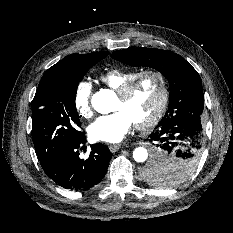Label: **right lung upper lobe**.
<instances>
[{
  "mask_svg": "<svg viewBox=\"0 0 233 233\" xmlns=\"http://www.w3.org/2000/svg\"><path fill=\"white\" fill-rule=\"evenodd\" d=\"M107 55L108 52H94L81 55L75 53L68 55L45 72L39 83V86L50 80L57 79L71 70H75L76 68L86 64L94 58L100 56L106 57Z\"/></svg>",
  "mask_w": 233,
  "mask_h": 233,
  "instance_id": "obj_1",
  "label": "right lung upper lobe"
}]
</instances>
